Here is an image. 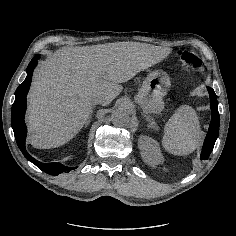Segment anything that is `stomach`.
Instances as JSON below:
<instances>
[{
  "label": "stomach",
  "mask_w": 236,
  "mask_h": 236,
  "mask_svg": "<svg viewBox=\"0 0 236 236\" xmlns=\"http://www.w3.org/2000/svg\"><path fill=\"white\" fill-rule=\"evenodd\" d=\"M170 78L163 71H154L144 80L136 95V101L145 113H159L163 109L162 98L167 94Z\"/></svg>",
  "instance_id": "obj_1"
}]
</instances>
